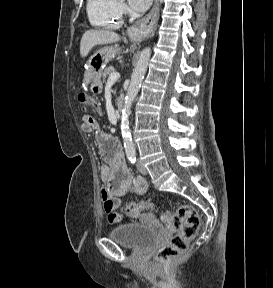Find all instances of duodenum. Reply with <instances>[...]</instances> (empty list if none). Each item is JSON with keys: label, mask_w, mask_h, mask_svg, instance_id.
<instances>
[{"label": "duodenum", "mask_w": 273, "mask_h": 288, "mask_svg": "<svg viewBox=\"0 0 273 288\" xmlns=\"http://www.w3.org/2000/svg\"><path fill=\"white\" fill-rule=\"evenodd\" d=\"M124 108H125V99L120 97L116 102V110L118 111V113H122Z\"/></svg>", "instance_id": "1"}]
</instances>
